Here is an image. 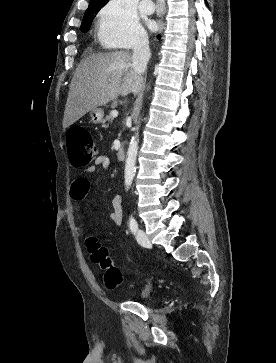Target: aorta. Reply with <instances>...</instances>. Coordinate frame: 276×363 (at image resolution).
I'll return each instance as SVG.
<instances>
[{"instance_id":"762f6f07","label":"aorta","mask_w":276,"mask_h":363,"mask_svg":"<svg viewBox=\"0 0 276 363\" xmlns=\"http://www.w3.org/2000/svg\"><path fill=\"white\" fill-rule=\"evenodd\" d=\"M138 136L139 135L137 127V133L132 138L128 148L126 164H125V185L127 190L130 188L135 175V163H136L138 142H139Z\"/></svg>"}]
</instances>
